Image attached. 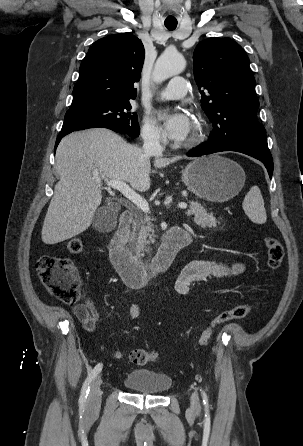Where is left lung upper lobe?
Segmentation results:
<instances>
[{
  "instance_id": "left-lung-upper-lobe-1",
  "label": "left lung upper lobe",
  "mask_w": 303,
  "mask_h": 446,
  "mask_svg": "<svg viewBox=\"0 0 303 446\" xmlns=\"http://www.w3.org/2000/svg\"><path fill=\"white\" fill-rule=\"evenodd\" d=\"M202 108L213 123L210 145L236 144L269 151L257 119L255 79L243 48L230 38L201 41L193 55Z\"/></svg>"
}]
</instances>
